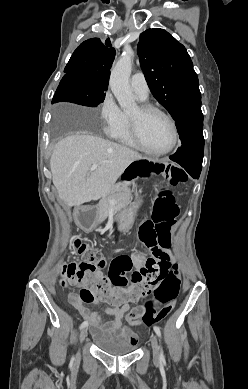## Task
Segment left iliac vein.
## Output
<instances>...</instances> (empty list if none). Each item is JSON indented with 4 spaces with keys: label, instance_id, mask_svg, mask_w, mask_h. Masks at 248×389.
I'll return each mask as SVG.
<instances>
[{
    "label": "left iliac vein",
    "instance_id": "left-iliac-vein-1",
    "mask_svg": "<svg viewBox=\"0 0 248 389\" xmlns=\"http://www.w3.org/2000/svg\"><path fill=\"white\" fill-rule=\"evenodd\" d=\"M151 345L153 349V358L155 362H159L160 360V351H159V345L156 335H151Z\"/></svg>",
    "mask_w": 248,
    "mask_h": 389
}]
</instances>
